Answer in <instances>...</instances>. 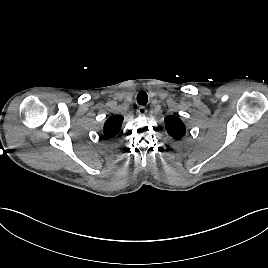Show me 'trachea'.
Here are the masks:
<instances>
[{
  "label": "trachea",
  "instance_id": "obj_1",
  "mask_svg": "<svg viewBox=\"0 0 268 268\" xmlns=\"http://www.w3.org/2000/svg\"><path fill=\"white\" fill-rule=\"evenodd\" d=\"M137 102L140 105H146L148 102V96L147 93L145 91H140L137 95Z\"/></svg>",
  "mask_w": 268,
  "mask_h": 268
}]
</instances>
